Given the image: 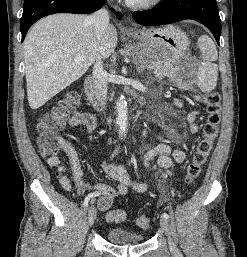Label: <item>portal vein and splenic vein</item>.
Returning a JSON list of instances; mask_svg holds the SVG:
<instances>
[{
  "label": "portal vein and splenic vein",
  "mask_w": 247,
  "mask_h": 257,
  "mask_svg": "<svg viewBox=\"0 0 247 257\" xmlns=\"http://www.w3.org/2000/svg\"><path fill=\"white\" fill-rule=\"evenodd\" d=\"M82 60V57H78L75 59V61H81Z\"/></svg>",
  "instance_id": "18ae733b"
}]
</instances>
